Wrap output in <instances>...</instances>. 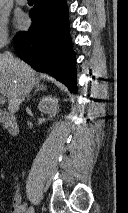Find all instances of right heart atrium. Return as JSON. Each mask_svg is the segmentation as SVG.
Wrapping results in <instances>:
<instances>
[{
  "label": "right heart atrium",
  "mask_w": 128,
  "mask_h": 213,
  "mask_svg": "<svg viewBox=\"0 0 128 213\" xmlns=\"http://www.w3.org/2000/svg\"><path fill=\"white\" fill-rule=\"evenodd\" d=\"M9 40V21L6 14L0 11V47Z\"/></svg>",
  "instance_id": "d8ad5b80"
}]
</instances>
